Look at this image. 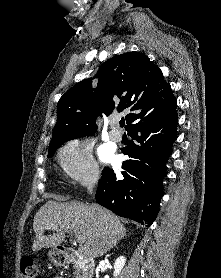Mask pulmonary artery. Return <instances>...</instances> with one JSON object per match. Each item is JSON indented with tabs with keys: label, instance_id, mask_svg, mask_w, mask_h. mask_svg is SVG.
Returning a JSON list of instances; mask_svg holds the SVG:
<instances>
[{
	"label": "pulmonary artery",
	"instance_id": "e3ab8cb5",
	"mask_svg": "<svg viewBox=\"0 0 221 278\" xmlns=\"http://www.w3.org/2000/svg\"><path fill=\"white\" fill-rule=\"evenodd\" d=\"M113 130L110 132V137L114 141H120L122 139V132L118 129L117 124L113 122Z\"/></svg>",
	"mask_w": 221,
	"mask_h": 278
}]
</instances>
